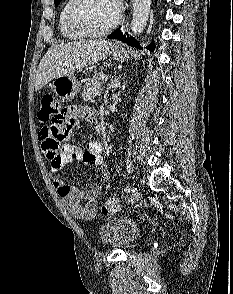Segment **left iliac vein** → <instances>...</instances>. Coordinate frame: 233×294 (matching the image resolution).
<instances>
[{
    "mask_svg": "<svg viewBox=\"0 0 233 294\" xmlns=\"http://www.w3.org/2000/svg\"><path fill=\"white\" fill-rule=\"evenodd\" d=\"M140 198H141V192L138 191V190H135L134 193H133L132 201L130 202V205H131L132 209L136 208L137 202L140 201Z\"/></svg>",
    "mask_w": 233,
    "mask_h": 294,
    "instance_id": "1",
    "label": "left iliac vein"
}]
</instances>
